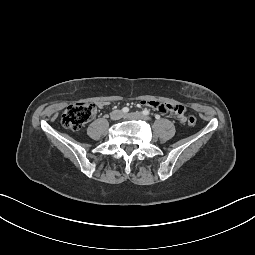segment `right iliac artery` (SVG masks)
I'll list each match as a JSON object with an SVG mask.
<instances>
[{"mask_svg": "<svg viewBox=\"0 0 255 255\" xmlns=\"http://www.w3.org/2000/svg\"><path fill=\"white\" fill-rule=\"evenodd\" d=\"M122 112H123V113L129 112V108H127V107L122 108Z\"/></svg>", "mask_w": 255, "mask_h": 255, "instance_id": "right-iliac-artery-1", "label": "right iliac artery"}]
</instances>
